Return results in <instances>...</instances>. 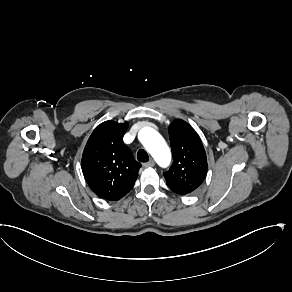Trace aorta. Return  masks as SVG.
I'll list each match as a JSON object with an SVG mask.
<instances>
[{"label": "aorta", "instance_id": "762f6f07", "mask_svg": "<svg viewBox=\"0 0 292 292\" xmlns=\"http://www.w3.org/2000/svg\"><path fill=\"white\" fill-rule=\"evenodd\" d=\"M140 133L142 134L141 142L158 164L161 166L168 165L170 151L164 139L152 128H143Z\"/></svg>", "mask_w": 292, "mask_h": 292}]
</instances>
